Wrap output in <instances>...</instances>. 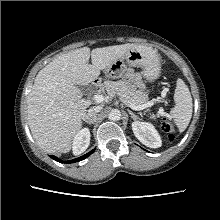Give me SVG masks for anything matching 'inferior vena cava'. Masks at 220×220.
<instances>
[{"label":"inferior vena cava","mask_w":220,"mask_h":220,"mask_svg":"<svg viewBox=\"0 0 220 220\" xmlns=\"http://www.w3.org/2000/svg\"><path fill=\"white\" fill-rule=\"evenodd\" d=\"M101 109H102L101 106H93L92 108L88 110V113L83 116V120L89 122L92 116H95L96 113L101 111Z\"/></svg>","instance_id":"inferior-vena-cava-1"}]
</instances>
